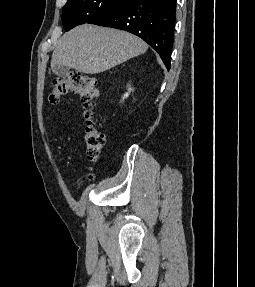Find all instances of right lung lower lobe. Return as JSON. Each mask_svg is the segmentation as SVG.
Segmentation results:
<instances>
[{
  "label": "right lung lower lobe",
  "instance_id": "right-lung-lower-lobe-1",
  "mask_svg": "<svg viewBox=\"0 0 255 287\" xmlns=\"http://www.w3.org/2000/svg\"><path fill=\"white\" fill-rule=\"evenodd\" d=\"M176 0H126L90 23L133 33L148 43L170 69Z\"/></svg>",
  "mask_w": 255,
  "mask_h": 287
}]
</instances>
